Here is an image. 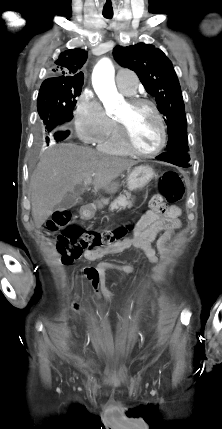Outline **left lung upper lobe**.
I'll use <instances>...</instances> for the list:
<instances>
[{
  "label": "left lung upper lobe",
  "instance_id": "obj_1",
  "mask_svg": "<svg viewBox=\"0 0 222 429\" xmlns=\"http://www.w3.org/2000/svg\"><path fill=\"white\" fill-rule=\"evenodd\" d=\"M113 56L121 66L133 70L145 90L155 97L158 110L168 127L167 151L182 150L189 153L181 87L170 60L160 49L144 43L116 46Z\"/></svg>",
  "mask_w": 222,
  "mask_h": 429
}]
</instances>
